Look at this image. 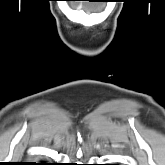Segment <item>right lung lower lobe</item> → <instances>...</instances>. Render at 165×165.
<instances>
[{"label":"right lung lower lobe","instance_id":"right-lung-lower-lobe-1","mask_svg":"<svg viewBox=\"0 0 165 165\" xmlns=\"http://www.w3.org/2000/svg\"><path fill=\"white\" fill-rule=\"evenodd\" d=\"M41 165H47L46 163H42Z\"/></svg>","mask_w":165,"mask_h":165}]
</instances>
